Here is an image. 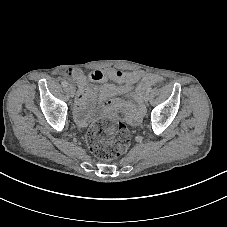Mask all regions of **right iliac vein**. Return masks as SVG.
I'll return each instance as SVG.
<instances>
[{"label":"right iliac vein","mask_w":227,"mask_h":227,"mask_svg":"<svg viewBox=\"0 0 227 227\" xmlns=\"http://www.w3.org/2000/svg\"><path fill=\"white\" fill-rule=\"evenodd\" d=\"M68 90L70 92L71 97H74V95H75V87L73 85H70Z\"/></svg>","instance_id":"1"}]
</instances>
